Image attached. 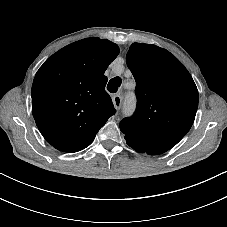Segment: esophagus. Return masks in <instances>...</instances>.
<instances>
[{"label": "esophagus", "mask_w": 227, "mask_h": 227, "mask_svg": "<svg viewBox=\"0 0 227 227\" xmlns=\"http://www.w3.org/2000/svg\"><path fill=\"white\" fill-rule=\"evenodd\" d=\"M113 104L116 110H119L121 108L122 96L120 94L113 96Z\"/></svg>", "instance_id": "obj_1"}]
</instances>
